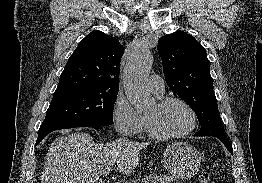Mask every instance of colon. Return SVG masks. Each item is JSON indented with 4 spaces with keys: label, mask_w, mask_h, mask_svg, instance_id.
<instances>
[{
    "label": "colon",
    "mask_w": 262,
    "mask_h": 183,
    "mask_svg": "<svg viewBox=\"0 0 262 183\" xmlns=\"http://www.w3.org/2000/svg\"><path fill=\"white\" fill-rule=\"evenodd\" d=\"M198 181H199V183H210L211 177H210L209 173L204 172V173L200 174Z\"/></svg>",
    "instance_id": "1"
}]
</instances>
